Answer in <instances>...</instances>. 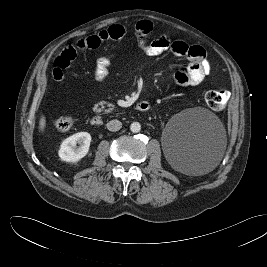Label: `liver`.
Instances as JSON below:
<instances>
[{
    "label": "liver",
    "mask_w": 267,
    "mask_h": 267,
    "mask_svg": "<svg viewBox=\"0 0 267 267\" xmlns=\"http://www.w3.org/2000/svg\"><path fill=\"white\" fill-rule=\"evenodd\" d=\"M45 126H46V118L44 115H42L39 121V130L43 132L45 129Z\"/></svg>",
    "instance_id": "1"
}]
</instances>
